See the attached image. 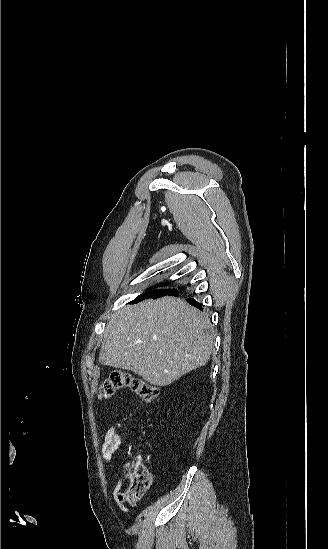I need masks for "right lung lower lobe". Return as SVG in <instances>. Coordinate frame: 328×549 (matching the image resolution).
I'll use <instances>...</instances> for the list:
<instances>
[{"label": "right lung lower lobe", "mask_w": 328, "mask_h": 549, "mask_svg": "<svg viewBox=\"0 0 328 549\" xmlns=\"http://www.w3.org/2000/svg\"><path fill=\"white\" fill-rule=\"evenodd\" d=\"M187 301H188L190 304H192V305H194V306H196V307L202 309L200 303L197 302V301H195L194 299L188 298Z\"/></svg>", "instance_id": "1"}]
</instances>
